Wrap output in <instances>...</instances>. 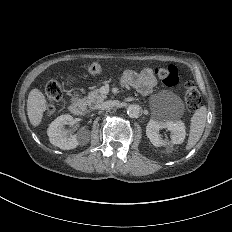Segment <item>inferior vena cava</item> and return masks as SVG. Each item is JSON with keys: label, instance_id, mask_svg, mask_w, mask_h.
I'll list each match as a JSON object with an SVG mask.
<instances>
[{"label": "inferior vena cava", "instance_id": "602c4592", "mask_svg": "<svg viewBox=\"0 0 232 232\" xmlns=\"http://www.w3.org/2000/svg\"><path fill=\"white\" fill-rule=\"evenodd\" d=\"M119 104L118 100H107L102 102L100 108L103 110H110Z\"/></svg>", "mask_w": 232, "mask_h": 232}]
</instances>
